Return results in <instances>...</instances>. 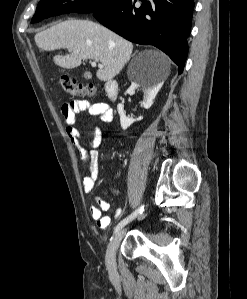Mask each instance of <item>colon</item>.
<instances>
[{"mask_svg": "<svg viewBox=\"0 0 247 299\" xmlns=\"http://www.w3.org/2000/svg\"><path fill=\"white\" fill-rule=\"evenodd\" d=\"M60 82L64 91L73 96H93L96 93L94 85L84 86L69 75H63Z\"/></svg>", "mask_w": 247, "mask_h": 299, "instance_id": "obj_1", "label": "colon"}]
</instances>
